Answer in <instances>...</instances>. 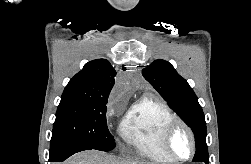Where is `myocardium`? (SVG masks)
I'll return each instance as SVG.
<instances>
[{
	"instance_id": "1",
	"label": "myocardium",
	"mask_w": 251,
	"mask_h": 164,
	"mask_svg": "<svg viewBox=\"0 0 251 164\" xmlns=\"http://www.w3.org/2000/svg\"><path fill=\"white\" fill-rule=\"evenodd\" d=\"M178 128L184 129L191 141V152L190 155L186 158L177 157L176 155L173 154L170 148L171 138ZM161 145L164 153L175 162H186L190 160L195 155L196 152V139L194 132L191 129V127L180 118L172 119L164 127L161 135Z\"/></svg>"
}]
</instances>
